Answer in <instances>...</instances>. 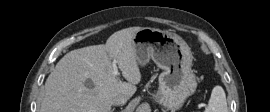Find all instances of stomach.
<instances>
[{"instance_id": "1", "label": "stomach", "mask_w": 270, "mask_h": 112, "mask_svg": "<svg viewBox=\"0 0 270 112\" xmlns=\"http://www.w3.org/2000/svg\"><path fill=\"white\" fill-rule=\"evenodd\" d=\"M134 47L138 65L152 59L163 70L153 99L172 112L180 109L197 87L188 44L175 33L145 27L135 34Z\"/></svg>"}]
</instances>
